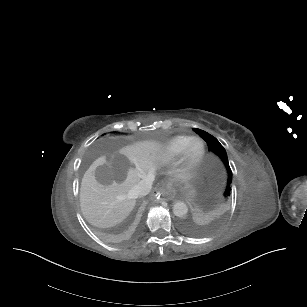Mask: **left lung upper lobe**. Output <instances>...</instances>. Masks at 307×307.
Returning a JSON list of instances; mask_svg holds the SVG:
<instances>
[{
  "instance_id": "left-lung-upper-lobe-1",
  "label": "left lung upper lobe",
  "mask_w": 307,
  "mask_h": 307,
  "mask_svg": "<svg viewBox=\"0 0 307 307\" xmlns=\"http://www.w3.org/2000/svg\"><path fill=\"white\" fill-rule=\"evenodd\" d=\"M194 131L199 134L206 142L208 145V148L216 153L223 161V163L226 166L227 172H228V181H227V187L224 192V198H222V202L226 201L230 197V191H231V182H232V171L229 166L228 158H227V153L224 149V147L220 144V142L210 135L209 133L200 130V129H194ZM187 229L191 232H196V233H201L202 231H197L192 229L191 227H187Z\"/></svg>"
}]
</instances>
